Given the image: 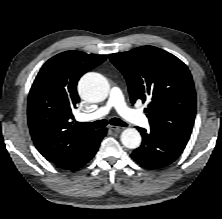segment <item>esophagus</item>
<instances>
[{
  "mask_svg": "<svg viewBox=\"0 0 222 219\" xmlns=\"http://www.w3.org/2000/svg\"><path fill=\"white\" fill-rule=\"evenodd\" d=\"M110 129H111V130H113V131H117V132H118V131L123 130V129H124V127H119V126H111V127H110Z\"/></svg>",
  "mask_w": 222,
  "mask_h": 219,
  "instance_id": "esophagus-1",
  "label": "esophagus"
}]
</instances>
